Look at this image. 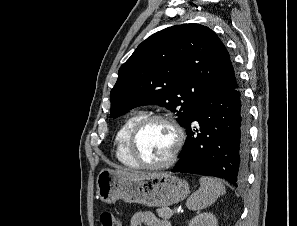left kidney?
Listing matches in <instances>:
<instances>
[{
    "label": "left kidney",
    "mask_w": 297,
    "mask_h": 226,
    "mask_svg": "<svg viewBox=\"0 0 297 226\" xmlns=\"http://www.w3.org/2000/svg\"><path fill=\"white\" fill-rule=\"evenodd\" d=\"M215 215L211 212L200 213L191 219L189 226H218Z\"/></svg>",
    "instance_id": "left-kidney-1"
}]
</instances>
